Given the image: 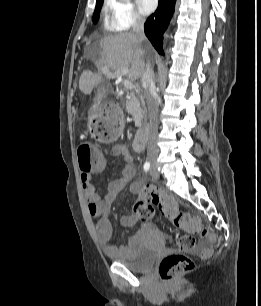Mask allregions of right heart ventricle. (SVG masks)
Listing matches in <instances>:
<instances>
[{"label":"right heart ventricle","mask_w":261,"mask_h":306,"mask_svg":"<svg viewBox=\"0 0 261 306\" xmlns=\"http://www.w3.org/2000/svg\"><path fill=\"white\" fill-rule=\"evenodd\" d=\"M105 28H106L107 30H110V29L112 28L111 25H109V23H108L107 20H105Z\"/></svg>","instance_id":"1"}]
</instances>
